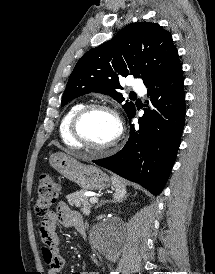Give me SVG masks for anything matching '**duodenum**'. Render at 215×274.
I'll return each mask as SVG.
<instances>
[{"label":"duodenum","instance_id":"obj_1","mask_svg":"<svg viewBox=\"0 0 215 274\" xmlns=\"http://www.w3.org/2000/svg\"><path fill=\"white\" fill-rule=\"evenodd\" d=\"M80 233L84 234V233H85V230H81Z\"/></svg>","mask_w":215,"mask_h":274}]
</instances>
